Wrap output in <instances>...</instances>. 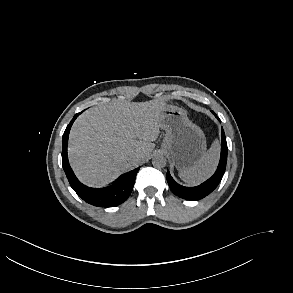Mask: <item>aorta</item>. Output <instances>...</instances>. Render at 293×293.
Returning a JSON list of instances; mask_svg holds the SVG:
<instances>
[{
  "label": "aorta",
  "instance_id": "obj_1",
  "mask_svg": "<svg viewBox=\"0 0 293 293\" xmlns=\"http://www.w3.org/2000/svg\"><path fill=\"white\" fill-rule=\"evenodd\" d=\"M167 160L163 155H156L152 159V165L156 168H163L166 166Z\"/></svg>",
  "mask_w": 293,
  "mask_h": 293
}]
</instances>
